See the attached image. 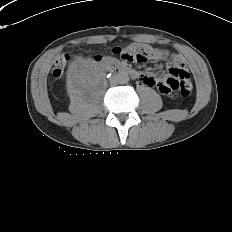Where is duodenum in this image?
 <instances>
[{
    "label": "duodenum",
    "mask_w": 232,
    "mask_h": 232,
    "mask_svg": "<svg viewBox=\"0 0 232 232\" xmlns=\"http://www.w3.org/2000/svg\"><path fill=\"white\" fill-rule=\"evenodd\" d=\"M111 72L112 74H128L133 78H138L139 74L136 70L124 65V64H117L112 62L111 65Z\"/></svg>",
    "instance_id": "1"
}]
</instances>
